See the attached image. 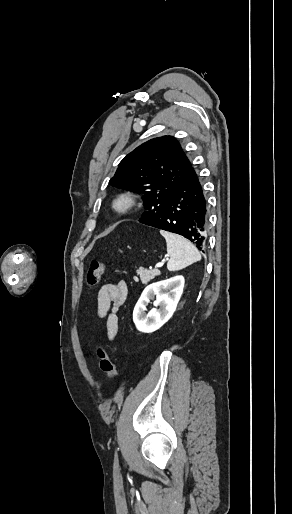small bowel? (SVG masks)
<instances>
[{
  "instance_id": "1",
  "label": "small bowel",
  "mask_w": 292,
  "mask_h": 514,
  "mask_svg": "<svg viewBox=\"0 0 292 514\" xmlns=\"http://www.w3.org/2000/svg\"><path fill=\"white\" fill-rule=\"evenodd\" d=\"M126 296L127 285L124 281L106 283L98 291L97 317L105 319V333L108 339H113L118 332V311L123 306Z\"/></svg>"
}]
</instances>
